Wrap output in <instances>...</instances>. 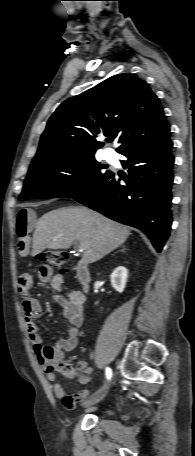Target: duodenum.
<instances>
[{"label": "duodenum", "mask_w": 195, "mask_h": 456, "mask_svg": "<svg viewBox=\"0 0 195 456\" xmlns=\"http://www.w3.org/2000/svg\"><path fill=\"white\" fill-rule=\"evenodd\" d=\"M75 275L83 290L87 292L89 290V285L91 282V274L87 262L80 260L77 263L75 268Z\"/></svg>", "instance_id": "duodenum-1"}]
</instances>
